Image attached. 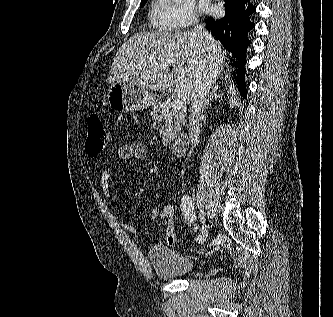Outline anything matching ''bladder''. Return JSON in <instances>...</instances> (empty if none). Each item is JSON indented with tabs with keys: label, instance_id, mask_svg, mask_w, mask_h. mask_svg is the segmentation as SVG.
<instances>
[{
	"label": "bladder",
	"instance_id": "obj_1",
	"mask_svg": "<svg viewBox=\"0 0 333 317\" xmlns=\"http://www.w3.org/2000/svg\"><path fill=\"white\" fill-rule=\"evenodd\" d=\"M153 271L161 278H181L197 269V262L163 244H155L148 251Z\"/></svg>",
	"mask_w": 333,
	"mask_h": 317
}]
</instances>
